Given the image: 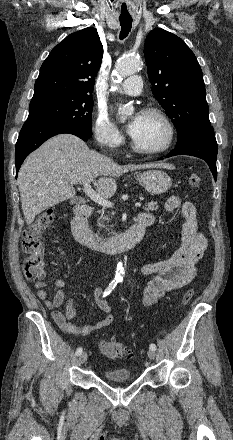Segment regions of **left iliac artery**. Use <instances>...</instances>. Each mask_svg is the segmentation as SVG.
I'll return each instance as SVG.
<instances>
[{
  "mask_svg": "<svg viewBox=\"0 0 233 440\" xmlns=\"http://www.w3.org/2000/svg\"><path fill=\"white\" fill-rule=\"evenodd\" d=\"M149 347H150V349H152V350H156V345H155V344H153V343H152V344H150V346H149Z\"/></svg>",
  "mask_w": 233,
  "mask_h": 440,
  "instance_id": "44dca946",
  "label": "left iliac artery"
}]
</instances>
